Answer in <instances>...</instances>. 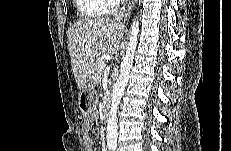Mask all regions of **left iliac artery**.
Returning <instances> with one entry per match:
<instances>
[{
    "label": "left iliac artery",
    "instance_id": "1",
    "mask_svg": "<svg viewBox=\"0 0 231 151\" xmlns=\"http://www.w3.org/2000/svg\"><path fill=\"white\" fill-rule=\"evenodd\" d=\"M111 148H112V150H115L116 149V145L112 146Z\"/></svg>",
    "mask_w": 231,
    "mask_h": 151
}]
</instances>
